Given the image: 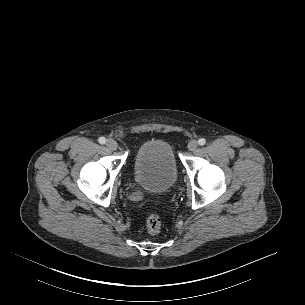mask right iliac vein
Here are the masks:
<instances>
[{
	"instance_id": "right-iliac-vein-1",
	"label": "right iliac vein",
	"mask_w": 305,
	"mask_h": 305,
	"mask_svg": "<svg viewBox=\"0 0 305 305\" xmlns=\"http://www.w3.org/2000/svg\"><path fill=\"white\" fill-rule=\"evenodd\" d=\"M106 146L110 149V150H116L117 149V143L113 140V139H108L106 141Z\"/></svg>"
}]
</instances>
